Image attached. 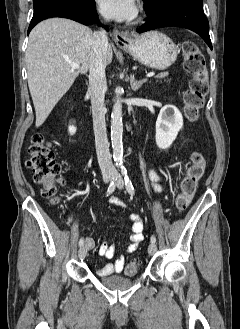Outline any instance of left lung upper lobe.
Instances as JSON below:
<instances>
[{"mask_svg":"<svg viewBox=\"0 0 240 329\" xmlns=\"http://www.w3.org/2000/svg\"><path fill=\"white\" fill-rule=\"evenodd\" d=\"M143 1L145 3V10L148 12H154L155 10L161 8L164 4L168 3L170 0H143Z\"/></svg>","mask_w":240,"mask_h":329,"instance_id":"1","label":"left lung upper lobe"}]
</instances>
